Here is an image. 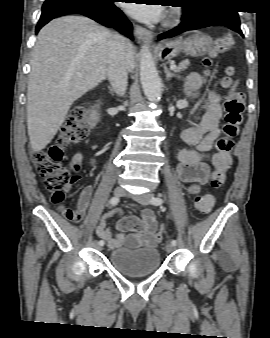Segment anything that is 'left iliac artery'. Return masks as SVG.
Returning a JSON list of instances; mask_svg holds the SVG:
<instances>
[{"label":"left iliac artery","instance_id":"44dca946","mask_svg":"<svg viewBox=\"0 0 270 338\" xmlns=\"http://www.w3.org/2000/svg\"><path fill=\"white\" fill-rule=\"evenodd\" d=\"M151 203L153 204V205H155V206H158V205H161L162 203H163V199L162 198H160V197H153L152 199H151ZM171 244L172 245H176L177 244V241L176 240H172L171 241Z\"/></svg>","mask_w":270,"mask_h":338}]
</instances>
